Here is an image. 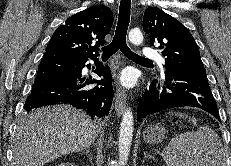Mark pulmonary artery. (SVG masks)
<instances>
[{"label":"pulmonary artery","mask_w":231,"mask_h":166,"mask_svg":"<svg viewBox=\"0 0 231 166\" xmlns=\"http://www.w3.org/2000/svg\"><path fill=\"white\" fill-rule=\"evenodd\" d=\"M143 57L149 58V59H157L160 63H163V59L160 57V55L153 49L146 48L142 51Z\"/></svg>","instance_id":"pulmonary-artery-1"}]
</instances>
